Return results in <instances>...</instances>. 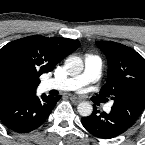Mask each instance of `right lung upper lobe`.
I'll use <instances>...</instances> for the list:
<instances>
[{"label":"right lung upper lobe","instance_id":"1","mask_svg":"<svg viewBox=\"0 0 145 145\" xmlns=\"http://www.w3.org/2000/svg\"><path fill=\"white\" fill-rule=\"evenodd\" d=\"M79 47L78 40L33 35L0 49V101L36 94L39 76Z\"/></svg>","mask_w":145,"mask_h":145}]
</instances>
